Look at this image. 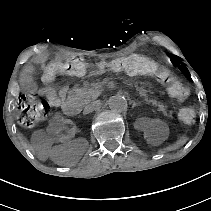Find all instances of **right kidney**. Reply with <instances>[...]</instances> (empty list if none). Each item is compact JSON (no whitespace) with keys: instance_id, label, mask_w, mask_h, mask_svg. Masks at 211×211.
<instances>
[{"instance_id":"ca27d5eb","label":"right kidney","mask_w":211,"mask_h":211,"mask_svg":"<svg viewBox=\"0 0 211 211\" xmlns=\"http://www.w3.org/2000/svg\"><path fill=\"white\" fill-rule=\"evenodd\" d=\"M47 132L52 135V140L55 143H60L62 140L70 141L76 137L74 123L68 122L65 118L54 119L48 125Z\"/></svg>"}]
</instances>
